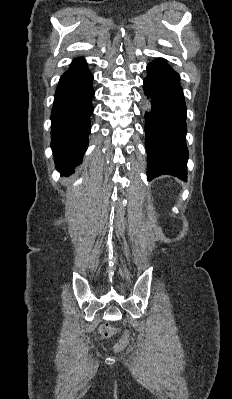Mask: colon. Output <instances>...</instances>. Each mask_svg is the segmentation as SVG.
Listing matches in <instances>:
<instances>
[{
	"label": "colon",
	"mask_w": 232,
	"mask_h": 399,
	"mask_svg": "<svg viewBox=\"0 0 232 399\" xmlns=\"http://www.w3.org/2000/svg\"><path fill=\"white\" fill-rule=\"evenodd\" d=\"M117 331V326H108L107 330H99L98 335L99 337H112L113 333H117Z\"/></svg>",
	"instance_id": "obj_1"
}]
</instances>
